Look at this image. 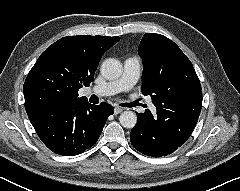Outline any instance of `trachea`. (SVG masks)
Segmentation results:
<instances>
[{
    "label": "trachea",
    "mask_w": 240,
    "mask_h": 191,
    "mask_svg": "<svg viewBox=\"0 0 240 191\" xmlns=\"http://www.w3.org/2000/svg\"><path fill=\"white\" fill-rule=\"evenodd\" d=\"M90 102L95 104L98 103V97L96 95H92L90 97Z\"/></svg>",
    "instance_id": "1"
}]
</instances>
